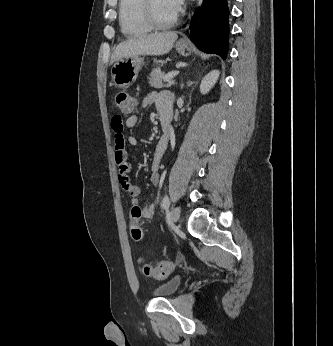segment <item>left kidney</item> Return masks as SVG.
I'll list each match as a JSON object with an SVG mask.
<instances>
[{
    "label": "left kidney",
    "instance_id": "left-kidney-1",
    "mask_svg": "<svg viewBox=\"0 0 333 346\" xmlns=\"http://www.w3.org/2000/svg\"><path fill=\"white\" fill-rule=\"evenodd\" d=\"M218 77H219L218 70H213L210 73H208L201 81L200 92L202 94H207L217 82Z\"/></svg>",
    "mask_w": 333,
    "mask_h": 346
}]
</instances>
